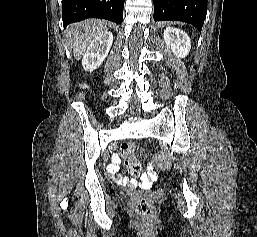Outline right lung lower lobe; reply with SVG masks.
Returning <instances> with one entry per match:
<instances>
[{
    "label": "right lung lower lobe",
    "mask_w": 257,
    "mask_h": 237,
    "mask_svg": "<svg viewBox=\"0 0 257 237\" xmlns=\"http://www.w3.org/2000/svg\"><path fill=\"white\" fill-rule=\"evenodd\" d=\"M125 0H62V20L67 26L87 18H100L121 24Z\"/></svg>",
    "instance_id": "98d812e1"
}]
</instances>
